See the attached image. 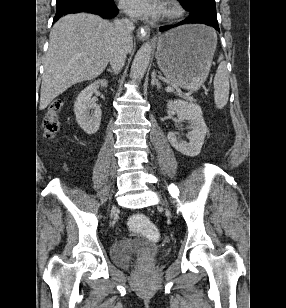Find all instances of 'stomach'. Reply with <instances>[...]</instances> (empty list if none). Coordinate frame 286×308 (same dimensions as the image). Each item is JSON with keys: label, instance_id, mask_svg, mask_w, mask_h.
<instances>
[{"label": "stomach", "instance_id": "obj_1", "mask_svg": "<svg viewBox=\"0 0 286 308\" xmlns=\"http://www.w3.org/2000/svg\"><path fill=\"white\" fill-rule=\"evenodd\" d=\"M216 45L217 35L212 28L183 25L159 37L157 64L173 84L197 90L208 76Z\"/></svg>", "mask_w": 286, "mask_h": 308}]
</instances>
